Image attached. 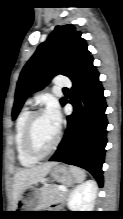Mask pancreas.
<instances>
[{"instance_id":"pancreas-1","label":"pancreas","mask_w":123,"mask_h":219,"mask_svg":"<svg viewBox=\"0 0 123 219\" xmlns=\"http://www.w3.org/2000/svg\"><path fill=\"white\" fill-rule=\"evenodd\" d=\"M40 195V208H48L52 204L63 202L67 197V193L59 190L56 185L44 186L40 190Z\"/></svg>"}]
</instances>
